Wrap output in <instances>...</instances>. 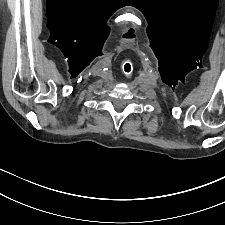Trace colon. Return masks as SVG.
<instances>
[{"label":"colon","mask_w":225,"mask_h":225,"mask_svg":"<svg viewBox=\"0 0 225 225\" xmlns=\"http://www.w3.org/2000/svg\"><path fill=\"white\" fill-rule=\"evenodd\" d=\"M124 67H125V70H124L125 73H126V74H130L131 71H132V67H131L130 62L126 61V62L124 63Z\"/></svg>","instance_id":"colon-1"}]
</instances>
